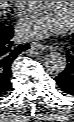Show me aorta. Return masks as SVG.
I'll return each instance as SVG.
<instances>
[{
	"label": "aorta",
	"mask_w": 74,
	"mask_h": 122,
	"mask_svg": "<svg viewBox=\"0 0 74 122\" xmlns=\"http://www.w3.org/2000/svg\"><path fill=\"white\" fill-rule=\"evenodd\" d=\"M44 65L49 72L59 74L66 69L67 58L60 52L52 51L44 56Z\"/></svg>",
	"instance_id": "762f6f07"
}]
</instances>
